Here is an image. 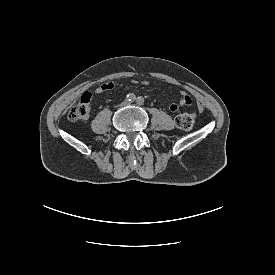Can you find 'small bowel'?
I'll use <instances>...</instances> for the list:
<instances>
[{
  "mask_svg": "<svg viewBox=\"0 0 275 275\" xmlns=\"http://www.w3.org/2000/svg\"><path fill=\"white\" fill-rule=\"evenodd\" d=\"M114 89V84L112 82H104L100 84L96 89H95V94H101L106 91H110ZM192 104V99L191 97L187 94L185 91H181V98L179 100V103H172L169 106V109L171 111H177L179 107L181 106H188Z\"/></svg>",
  "mask_w": 275,
  "mask_h": 275,
  "instance_id": "c3829d8e",
  "label": "small bowel"
}]
</instances>
